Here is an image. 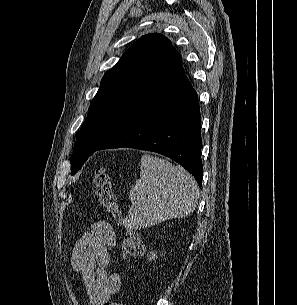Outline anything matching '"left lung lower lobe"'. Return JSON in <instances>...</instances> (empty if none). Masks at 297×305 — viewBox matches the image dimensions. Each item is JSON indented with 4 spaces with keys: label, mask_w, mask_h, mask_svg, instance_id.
Returning a JSON list of instances; mask_svg holds the SVG:
<instances>
[{
    "label": "left lung lower lobe",
    "mask_w": 297,
    "mask_h": 305,
    "mask_svg": "<svg viewBox=\"0 0 297 305\" xmlns=\"http://www.w3.org/2000/svg\"><path fill=\"white\" fill-rule=\"evenodd\" d=\"M120 147L165 155L188 170L201 187V115L197 93L185 75L148 87L97 150Z\"/></svg>",
    "instance_id": "0a47b994"
}]
</instances>
